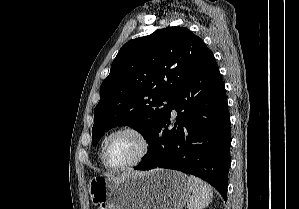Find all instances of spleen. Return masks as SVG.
I'll use <instances>...</instances> for the list:
<instances>
[{"mask_svg":"<svg viewBox=\"0 0 299 209\" xmlns=\"http://www.w3.org/2000/svg\"><path fill=\"white\" fill-rule=\"evenodd\" d=\"M189 181L193 190L192 196L188 201V209H204L211 202L213 192L211 187L195 176H190Z\"/></svg>","mask_w":299,"mask_h":209,"instance_id":"obj_1","label":"spleen"}]
</instances>
